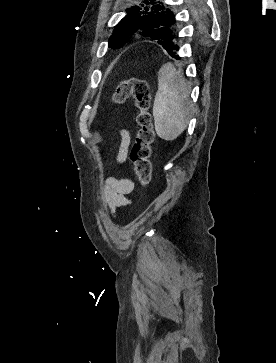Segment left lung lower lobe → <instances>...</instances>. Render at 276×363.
Wrapping results in <instances>:
<instances>
[{"mask_svg":"<svg viewBox=\"0 0 276 363\" xmlns=\"http://www.w3.org/2000/svg\"><path fill=\"white\" fill-rule=\"evenodd\" d=\"M179 49V47L176 44H169L167 48L165 49L170 56L175 57L176 59H179L178 55H176V51Z\"/></svg>","mask_w":276,"mask_h":363,"instance_id":"0a47b994","label":"left lung lower lobe"}]
</instances>
